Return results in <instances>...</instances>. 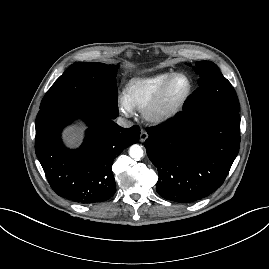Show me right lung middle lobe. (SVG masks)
Here are the masks:
<instances>
[{"label":"right lung middle lobe","mask_w":269,"mask_h":269,"mask_svg":"<svg viewBox=\"0 0 269 269\" xmlns=\"http://www.w3.org/2000/svg\"><path fill=\"white\" fill-rule=\"evenodd\" d=\"M118 67V65H116ZM116 70L103 63L72 64L45 94L40 109L58 102L92 107L118 116Z\"/></svg>","instance_id":"1"}]
</instances>
